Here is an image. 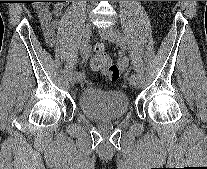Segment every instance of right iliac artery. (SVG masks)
<instances>
[{
  "label": "right iliac artery",
  "instance_id": "82829eb1",
  "mask_svg": "<svg viewBox=\"0 0 207 169\" xmlns=\"http://www.w3.org/2000/svg\"><path fill=\"white\" fill-rule=\"evenodd\" d=\"M80 54L84 59H87L89 57V50L86 47V44H84V43H82V45L80 47ZM76 76L79 81L83 80V78H84V76L81 73H77Z\"/></svg>",
  "mask_w": 207,
  "mask_h": 169
}]
</instances>
